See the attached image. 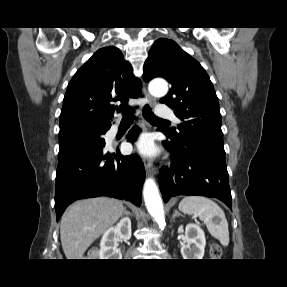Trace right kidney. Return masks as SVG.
Wrapping results in <instances>:
<instances>
[{
  "label": "right kidney",
  "instance_id": "right-kidney-1",
  "mask_svg": "<svg viewBox=\"0 0 287 287\" xmlns=\"http://www.w3.org/2000/svg\"><path fill=\"white\" fill-rule=\"evenodd\" d=\"M119 237L124 240L131 238L130 218H122L116 226L110 227L103 234L100 242V259H122V254L117 249V240Z\"/></svg>",
  "mask_w": 287,
  "mask_h": 287
}]
</instances>
